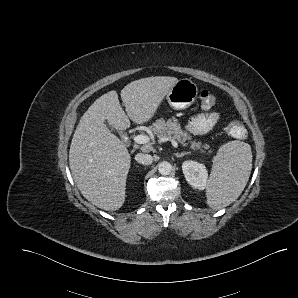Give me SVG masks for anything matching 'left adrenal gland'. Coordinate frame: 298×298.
Masks as SVG:
<instances>
[{"label":"left adrenal gland","instance_id":"a2214340","mask_svg":"<svg viewBox=\"0 0 298 298\" xmlns=\"http://www.w3.org/2000/svg\"><path fill=\"white\" fill-rule=\"evenodd\" d=\"M190 152H181V153H175V156L177 158H181V157H184L185 155H189Z\"/></svg>","mask_w":298,"mask_h":298}]
</instances>
